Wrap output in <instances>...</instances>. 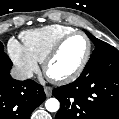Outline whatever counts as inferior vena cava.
Here are the masks:
<instances>
[{"label": "inferior vena cava", "instance_id": "obj_1", "mask_svg": "<svg viewBox=\"0 0 119 119\" xmlns=\"http://www.w3.org/2000/svg\"><path fill=\"white\" fill-rule=\"evenodd\" d=\"M11 76L16 80H26L33 77V72L27 69L13 67L11 69Z\"/></svg>", "mask_w": 119, "mask_h": 119}]
</instances>
